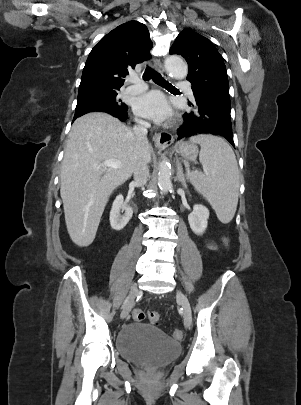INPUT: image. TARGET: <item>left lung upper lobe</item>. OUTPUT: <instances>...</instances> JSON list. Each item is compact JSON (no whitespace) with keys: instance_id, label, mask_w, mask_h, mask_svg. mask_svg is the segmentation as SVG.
I'll list each match as a JSON object with an SVG mask.
<instances>
[{"instance_id":"obj_1","label":"left lung upper lobe","mask_w":301,"mask_h":405,"mask_svg":"<svg viewBox=\"0 0 301 405\" xmlns=\"http://www.w3.org/2000/svg\"><path fill=\"white\" fill-rule=\"evenodd\" d=\"M169 53L181 55L187 61V80L192 83L195 96L230 106L224 61L207 38L186 28L177 36Z\"/></svg>"}]
</instances>
